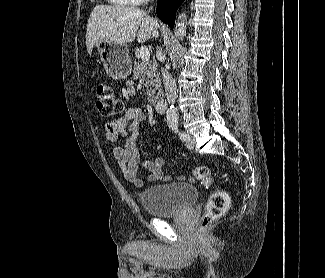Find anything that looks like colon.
Here are the masks:
<instances>
[{
	"label": "colon",
	"instance_id": "1",
	"mask_svg": "<svg viewBox=\"0 0 325 278\" xmlns=\"http://www.w3.org/2000/svg\"><path fill=\"white\" fill-rule=\"evenodd\" d=\"M95 105L97 110L105 117H114L124 111L122 100L116 95L108 84H100L95 90ZM193 178L206 184L213 183L211 169L207 166L196 167L192 171ZM229 205V194L216 188L210 195L205 212L200 223V231H204L211 223L219 219Z\"/></svg>",
	"mask_w": 325,
	"mask_h": 278
}]
</instances>
